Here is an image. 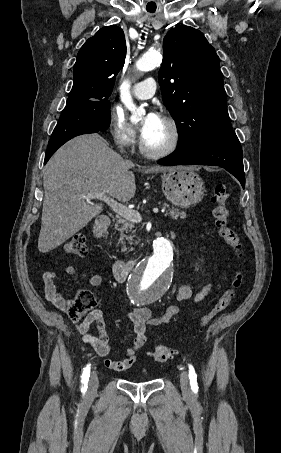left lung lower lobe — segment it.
Instances as JSON below:
<instances>
[{"instance_id":"left-lung-lower-lobe-1","label":"left lung lower lobe","mask_w":281,"mask_h":453,"mask_svg":"<svg viewBox=\"0 0 281 453\" xmlns=\"http://www.w3.org/2000/svg\"><path fill=\"white\" fill-rule=\"evenodd\" d=\"M172 165H215L225 168L245 186L242 148L234 132L178 148L173 154L158 161Z\"/></svg>"}]
</instances>
